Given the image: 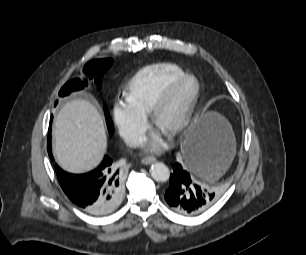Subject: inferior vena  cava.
Wrapping results in <instances>:
<instances>
[{
	"label": "inferior vena cava",
	"instance_id": "602c4592",
	"mask_svg": "<svg viewBox=\"0 0 306 255\" xmlns=\"http://www.w3.org/2000/svg\"><path fill=\"white\" fill-rule=\"evenodd\" d=\"M129 141L132 146L136 147L142 145L145 142V138L143 136L133 135Z\"/></svg>",
	"mask_w": 306,
	"mask_h": 255
}]
</instances>
